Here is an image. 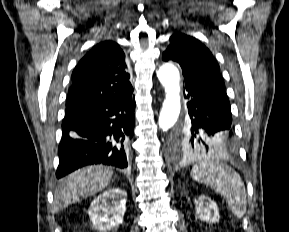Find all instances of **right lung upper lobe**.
Returning a JSON list of instances; mask_svg holds the SVG:
<instances>
[{"label":"right lung upper lobe","mask_w":289,"mask_h":232,"mask_svg":"<svg viewBox=\"0 0 289 232\" xmlns=\"http://www.w3.org/2000/svg\"><path fill=\"white\" fill-rule=\"evenodd\" d=\"M125 54L112 41L97 44L72 73L66 111L112 100L132 91Z\"/></svg>","instance_id":"right-lung-upper-lobe-1"}]
</instances>
